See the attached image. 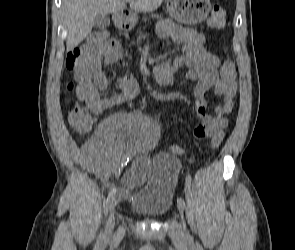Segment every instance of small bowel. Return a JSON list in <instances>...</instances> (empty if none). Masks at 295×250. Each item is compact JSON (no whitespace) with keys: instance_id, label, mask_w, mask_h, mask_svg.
I'll use <instances>...</instances> for the list:
<instances>
[{"instance_id":"c3829d8e","label":"small bowel","mask_w":295,"mask_h":250,"mask_svg":"<svg viewBox=\"0 0 295 250\" xmlns=\"http://www.w3.org/2000/svg\"><path fill=\"white\" fill-rule=\"evenodd\" d=\"M158 35L161 38L170 37L181 44L182 52L172 61H162L154 67L156 81L161 85H172L175 74L182 68L186 69V76L194 81L191 106L200 121L193 129V135L197 139L209 138L214 148L219 147L228 126V116L234 107L236 82H227L219 77L220 60L206 49L205 36L199 31L164 20L158 26ZM123 58V49L115 40H108L100 48L87 50L82 57L69 54L66 66L77 81V98L86 105L95 106L98 113L134 99L138 94V85L130 76L120 79L117 93L101 97V92L108 86L102 62L110 65ZM209 90H213L220 99L214 115L207 113L203 99ZM158 135L155 123L140 112L120 113L109 118L98 128L89 146L93 171L108 181L116 163L133 158L122 179V195L127 196L131 189L140 186L149 177L151 161L147 153L154 148ZM182 152L179 146L170 148L171 154L180 155Z\"/></svg>"}]
</instances>
